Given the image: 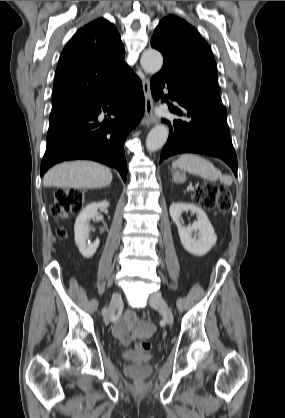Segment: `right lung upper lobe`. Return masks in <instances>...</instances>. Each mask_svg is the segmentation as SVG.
Instances as JSON below:
<instances>
[{"label": "right lung upper lobe", "mask_w": 285, "mask_h": 418, "mask_svg": "<svg viewBox=\"0 0 285 418\" xmlns=\"http://www.w3.org/2000/svg\"><path fill=\"white\" fill-rule=\"evenodd\" d=\"M114 25L104 18L78 30L57 65L52 109L88 105L125 86L133 72Z\"/></svg>", "instance_id": "cb5924a9"}]
</instances>
